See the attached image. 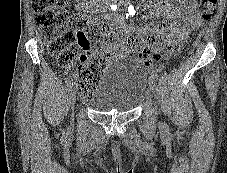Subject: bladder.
<instances>
[{
  "label": "bladder",
  "mask_w": 227,
  "mask_h": 173,
  "mask_svg": "<svg viewBox=\"0 0 227 173\" xmlns=\"http://www.w3.org/2000/svg\"><path fill=\"white\" fill-rule=\"evenodd\" d=\"M146 89V68L135 58H122L103 71L88 105L103 113L130 112L142 103Z\"/></svg>",
  "instance_id": "obj_1"
}]
</instances>
